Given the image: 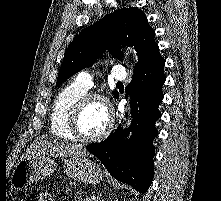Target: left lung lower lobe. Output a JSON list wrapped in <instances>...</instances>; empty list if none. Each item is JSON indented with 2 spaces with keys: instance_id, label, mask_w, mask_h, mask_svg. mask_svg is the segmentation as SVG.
Segmentation results:
<instances>
[{
  "instance_id": "0a47b994",
  "label": "left lung lower lobe",
  "mask_w": 221,
  "mask_h": 201,
  "mask_svg": "<svg viewBox=\"0 0 221 201\" xmlns=\"http://www.w3.org/2000/svg\"><path fill=\"white\" fill-rule=\"evenodd\" d=\"M164 66L165 60L159 55L135 74L127 87L133 117L130 128L122 130L119 126L103 142L86 147L114 178L131 185L139 193H146L154 175L153 140L158 135L155 122L161 117L158 106L164 97L161 91L166 80ZM130 130H133L132 136L125 141L123 136Z\"/></svg>"
}]
</instances>
